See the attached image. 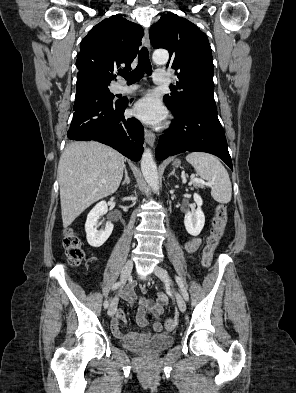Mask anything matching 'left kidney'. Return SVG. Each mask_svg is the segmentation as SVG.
Returning <instances> with one entry per match:
<instances>
[{
  "label": "left kidney",
  "instance_id": "left-kidney-1",
  "mask_svg": "<svg viewBox=\"0 0 296 393\" xmlns=\"http://www.w3.org/2000/svg\"><path fill=\"white\" fill-rule=\"evenodd\" d=\"M195 203L197 204V210L188 212L184 217V225L187 232L192 236H198L205 224V215L201 209L203 200L197 193L193 196Z\"/></svg>",
  "mask_w": 296,
  "mask_h": 393
}]
</instances>
